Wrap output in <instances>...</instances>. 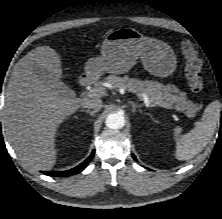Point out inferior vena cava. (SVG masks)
Listing matches in <instances>:
<instances>
[{
  "label": "inferior vena cava",
  "instance_id": "602c4592",
  "mask_svg": "<svg viewBox=\"0 0 222 219\" xmlns=\"http://www.w3.org/2000/svg\"><path fill=\"white\" fill-rule=\"evenodd\" d=\"M102 101L99 99L88 100L83 104L84 108L94 109L95 111H99L102 108Z\"/></svg>",
  "mask_w": 222,
  "mask_h": 219
}]
</instances>
